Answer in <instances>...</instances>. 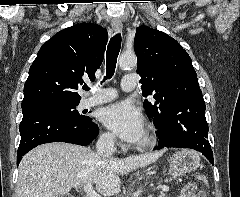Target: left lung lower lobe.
I'll return each instance as SVG.
<instances>
[{"mask_svg": "<svg viewBox=\"0 0 240 197\" xmlns=\"http://www.w3.org/2000/svg\"><path fill=\"white\" fill-rule=\"evenodd\" d=\"M150 120L157 129V149L191 148L201 152L214 165L203 99L190 97L179 110L162 111Z\"/></svg>", "mask_w": 240, "mask_h": 197, "instance_id": "left-lung-lower-lobe-1", "label": "left lung lower lobe"}]
</instances>
